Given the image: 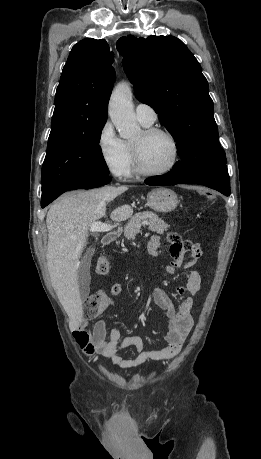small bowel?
<instances>
[{"mask_svg": "<svg viewBox=\"0 0 261 459\" xmlns=\"http://www.w3.org/2000/svg\"><path fill=\"white\" fill-rule=\"evenodd\" d=\"M169 241L168 252L171 256V263L161 268L160 274H172L182 268L187 282L185 286L176 290L180 297L178 303H174L169 294L161 287L156 286L153 290V300L164 312L168 323V332L163 337V347L157 350H144L143 340L139 336L121 338L119 330L107 331L106 323L102 319L97 321L92 328L88 327L86 321H81L74 328L73 336L78 347L86 355L106 358L119 369H131L148 361H167L179 354L193 325L192 298L201 286L200 274L193 266L199 259L201 250L197 245L183 241L176 234H171ZM161 246L159 237L152 236L149 242V252L156 254ZM121 291V283L112 285L110 296L107 295V302L101 312L111 305V296H116ZM128 347L136 349L137 354L134 358L124 359L117 355L119 350Z\"/></svg>", "mask_w": 261, "mask_h": 459, "instance_id": "obj_1", "label": "small bowel"}]
</instances>
